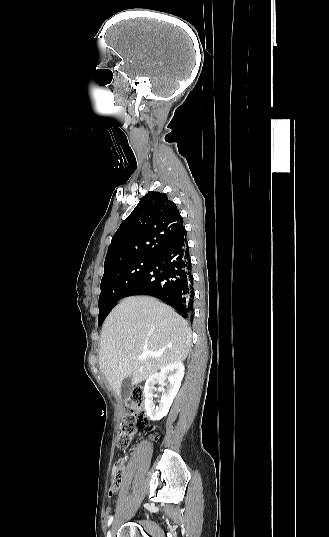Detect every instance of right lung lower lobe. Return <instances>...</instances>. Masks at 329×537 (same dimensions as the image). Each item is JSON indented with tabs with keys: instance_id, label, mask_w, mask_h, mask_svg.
I'll use <instances>...</instances> for the list:
<instances>
[{
	"instance_id": "1",
	"label": "right lung lower lobe",
	"mask_w": 329,
	"mask_h": 537,
	"mask_svg": "<svg viewBox=\"0 0 329 537\" xmlns=\"http://www.w3.org/2000/svg\"><path fill=\"white\" fill-rule=\"evenodd\" d=\"M187 232L169 244L152 261L126 296L150 295L164 300L179 314L190 318L193 311V276Z\"/></svg>"
}]
</instances>
